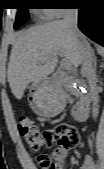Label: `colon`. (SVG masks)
<instances>
[{
    "mask_svg": "<svg viewBox=\"0 0 104 169\" xmlns=\"http://www.w3.org/2000/svg\"><path fill=\"white\" fill-rule=\"evenodd\" d=\"M18 131L29 148L36 152L50 147L57 140L65 147H75L79 142L78 131L68 124H59L41 131L34 121L22 118L18 124ZM36 161L42 169H53L55 164L54 156L47 152H41Z\"/></svg>",
    "mask_w": 104,
    "mask_h": 169,
    "instance_id": "obj_1",
    "label": "colon"
}]
</instances>
